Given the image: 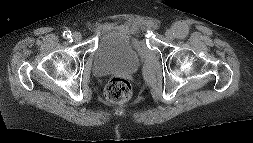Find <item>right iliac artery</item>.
Returning a JSON list of instances; mask_svg holds the SVG:
<instances>
[{"mask_svg":"<svg viewBox=\"0 0 253 143\" xmlns=\"http://www.w3.org/2000/svg\"><path fill=\"white\" fill-rule=\"evenodd\" d=\"M63 36L66 38H71V31L70 30L64 31Z\"/></svg>","mask_w":253,"mask_h":143,"instance_id":"82829eb1","label":"right iliac artery"}]
</instances>
